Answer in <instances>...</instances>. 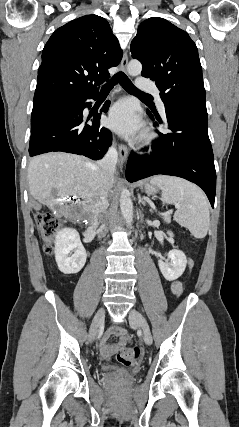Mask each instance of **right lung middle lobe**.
I'll return each mask as SVG.
<instances>
[{
	"instance_id": "1",
	"label": "right lung middle lobe",
	"mask_w": 239,
	"mask_h": 427,
	"mask_svg": "<svg viewBox=\"0 0 239 427\" xmlns=\"http://www.w3.org/2000/svg\"><path fill=\"white\" fill-rule=\"evenodd\" d=\"M63 96H52L42 99H34L33 110L31 115V130L39 123L43 115L50 112L58 106Z\"/></svg>"
}]
</instances>
